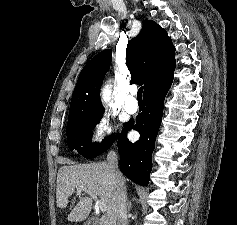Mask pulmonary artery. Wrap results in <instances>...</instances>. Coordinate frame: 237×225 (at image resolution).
Segmentation results:
<instances>
[{
	"label": "pulmonary artery",
	"instance_id": "obj_1",
	"mask_svg": "<svg viewBox=\"0 0 237 225\" xmlns=\"http://www.w3.org/2000/svg\"><path fill=\"white\" fill-rule=\"evenodd\" d=\"M135 93V89H131L125 100L124 109L129 114H134L138 111V102L135 98Z\"/></svg>",
	"mask_w": 237,
	"mask_h": 225
}]
</instances>
